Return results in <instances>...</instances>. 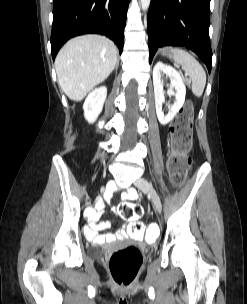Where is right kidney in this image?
Masks as SVG:
<instances>
[{"label":"right kidney","mask_w":247,"mask_h":304,"mask_svg":"<svg viewBox=\"0 0 247 304\" xmlns=\"http://www.w3.org/2000/svg\"><path fill=\"white\" fill-rule=\"evenodd\" d=\"M107 96V88L101 86L90 92L83 104L84 116L89 123L96 121L97 117L103 109V105Z\"/></svg>","instance_id":"ca27d5eb"}]
</instances>
